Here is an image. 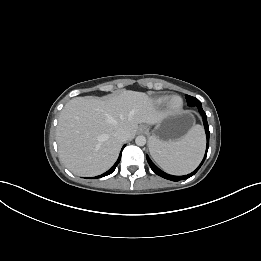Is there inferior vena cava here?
<instances>
[{"instance_id":"inferior-vena-cava-1","label":"inferior vena cava","mask_w":261,"mask_h":261,"mask_svg":"<svg viewBox=\"0 0 261 261\" xmlns=\"http://www.w3.org/2000/svg\"><path fill=\"white\" fill-rule=\"evenodd\" d=\"M114 137L120 141H124L126 138V132L122 129L117 130L114 134Z\"/></svg>"}]
</instances>
